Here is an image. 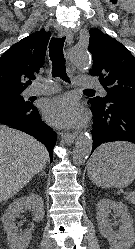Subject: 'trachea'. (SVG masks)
<instances>
[{
  "instance_id": "3493384b",
  "label": "trachea",
  "mask_w": 135,
  "mask_h": 249,
  "mask_svg": "<svg viewBox=\"0 0 135 249\" xmlns=\"http://www.w3.org/2000/svg\"><path fill=\"white\" fill-rule=\"evenodd\" d=\"M65 37L52 38L49 44V56L52 62V75L60 77L66 82H70L66 75L65 58L63 54V46ZM85 91H94L87 89Z\"/></svg>"
}]
</instances>
